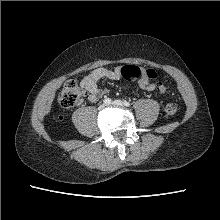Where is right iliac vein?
Here are the masks:
<instances>
[{
  "label": "right iliac vein",
  "instance_id": "obj_1",
  "mask_svg": "<svg viewBox=\"0 0 220 220\" xmlns=\"http://www.w3.org/2000/svg\"><path fill=\"white\" fill-rule=\"evenodd\" d=\"M105 104H100V106H99V110H102V109H104L105 108Z\"/></svg>",
  "mask_w": 220,
  "mask_h": 220
}]
</instances>
